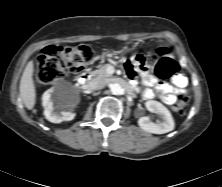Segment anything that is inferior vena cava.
I'll list each match as a JSON object with an SVG mask.
<instances>
[{
  "label": "inferior vena cava",
  "instance_id": "obj_1",
  "mask_svg": "<svg viewBox=\"0 0 222 187\" xmlns=\"http://www.w3.org/2000/svg\"><path fill=\"white\" fill-rule=\"evenodd\" d=\"M107 84V80L101 77H96L94 79H92V81L90 82V87L93 90H100L103 89Z\"/></svg>",
  "mask_w": 222,
  "mask_h": 187
}]
</instances>
